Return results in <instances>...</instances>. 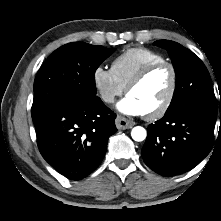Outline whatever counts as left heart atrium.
Here are the masks:
<instances>
[{
    "mask_svg": "<svg viewBox=\"0 0 221 221\" xmlns=\"http://www.w3.org/2000/svg\"><path fill=\"white\" fill-rule=\"evenodd\" d=\"M117 108L122 113H125L128 115L145 114L144 109L141 106V104L138 102V100L129 94L118 103Z\"/></svg>",
    "mask_w": 221,
    "mask_h": 221,
    "instance_id": "obj_1",
    "label": "left heart atrium"
}]
</instances>
